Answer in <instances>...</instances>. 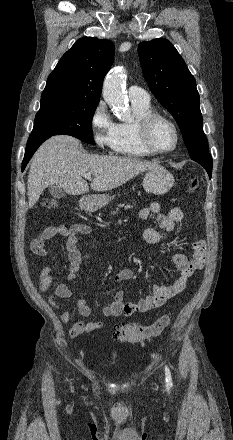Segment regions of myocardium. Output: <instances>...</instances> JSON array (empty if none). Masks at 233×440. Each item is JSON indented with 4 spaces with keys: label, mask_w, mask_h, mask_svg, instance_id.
<instances>
[{
    "label": "myocardium",
    "mask_w": 233,
    "mask_h": 440,
    "mask_svg": "<svg viewBox=\"0 0 233 440\" xmlns=\"http://www.w3.org/2000/svg\"><path fill=\"white\" fill-rule=\"evenodd\" d=\"M157 121H164L171 126L175 135V142L172 148L167 150H162L156 148L151 141V133L154 124ZM136 131L138 138L142 147L152 155H163L173 152L177 149L180 142V133L177 125L168 116L158 113L150 112L136 121Z\"/></svg>",
    "instance_id": "f54148a6"
}]
</instances>
